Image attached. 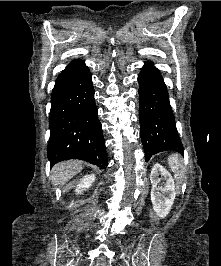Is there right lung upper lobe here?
<instances>
[{"instance_id":"1","label":"right lung upper lobe","mask_w":221,"mask_h":266,"mask_svg":"<svg viewBox=\"0 0 221 266\" xmlns=\"http://www.w3.org/2000/svg\"><path fill=\"white\" fill-rule=\"evenodd\" d=\"M80 61H81L80 59L73 60L68 66L73 65V64H76V63H78Z\"/></svg>"}]
</instances>
